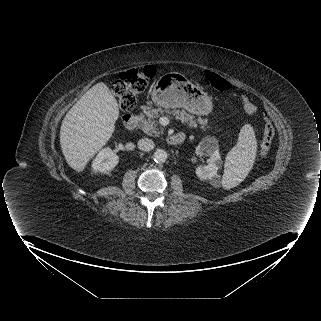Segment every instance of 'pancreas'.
<instances>
[{
  "label": "pancreas",
  "mask_w": 321,
  "mask_h": 321,
  "mask_svg": "<svg viewBox=\"0 0 321 321\" xmlns=\"http://www.w3.org/2000/svg\"><path fill=\"white\" fill-rule=\"evenodd\" d=\"M173 115L177 120H180L182 124L187 125V127L196 128L198 124H200L201 130H206L210 128V125L208 123L207 119L198 118L195 119V117L189 113H187L185 110H168V109H149L144 112L140 116V129L143 130L144 133H146L149 136L158 137L161 134H163V127L159 125V123L155 120L160 115ZM147 118H146V117Z\"/></svg>",
  "instance_id": "pancreas-1"
}]
</instances>
